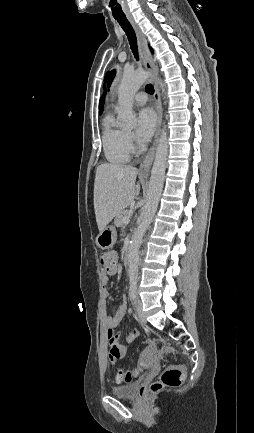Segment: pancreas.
Instances as JSON below:
<instances>
[{"mask_svg":"<svg viewBox=\"0 0 254 433\" xmlns=\"http://www.w3.org/2000/svg\"><path fill=\"white\" fill-rule=\"evenodd\" d=\"M128 215H130V211L129 210H122V211H120L117 215H116V217H115V220H114V224L117 226V227H121V226H123V218L125 217V216H128Z\"/></svg>","mask_w":254,"mask_h":433,"instance_id":"obj_1","label":"pancreas"}]
</instances>
